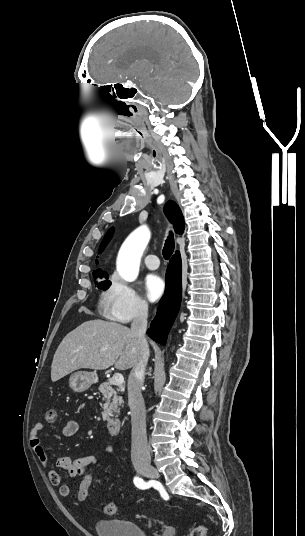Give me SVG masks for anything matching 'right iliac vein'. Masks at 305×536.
<instances>
[{
  "label": "right iliac vein",
  "instance_id": "obj_1",
  "mask_svg": "<svg viewBox=\"0 0 305 536\" xmlns=\"http://www.w3.org/2000/svg\"><path fill=\"white\" fill-rule=\"evenodd\" d=\"M139 473H142L150 478H158L157 470L151 465H139L137 468Z\"/></svg>",
  "mask_w": 305,
  "mask_h": 536
}]
</instances>
